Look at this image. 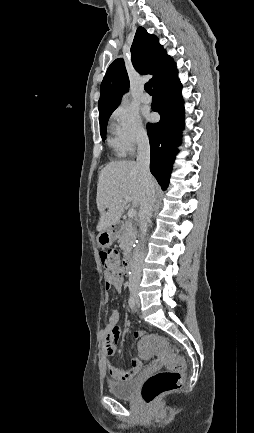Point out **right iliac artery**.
<instances>
[{
	"instance_id": "82829eb1",
	"label": "right iliac artery",
	"mask_w": 254,
	"mask_h": 433,
	"mask_svg": "<svg viewBox=\"0 0 254 433\" xmlns=\"http://www.w3.org/2000/svg\"><path fill=\"white\" fill-rule=\"evenodd\" d=\"M128 303H129V306L131 309H133L135 307V299L133 296L129 297Z\"/></svg>"
}]
</instances>
